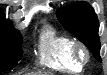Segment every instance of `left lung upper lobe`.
I'll list each match as a JSON object with an SVG mask.
<instances>
[{"instance_id": "left-lung-upper-lobe-1", "label": "left lung upper lobe", "mask_w": 107, "mask_h": 75, "mask_svg": "<svg viewBox=\"0 0 107 75\" xmlns=\"http://www.w3.org/2000/svg\"><path fill=\"white\" fill-rule=\"evenodd\" d=\"M57 18L66 30L74 34L93 53L100 58L99 23L97 16L86 2H76L57 11Z\"/></svg>"}]
</instances>
